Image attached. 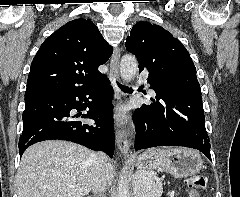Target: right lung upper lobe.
I'll return each instance as SVG.
<instances>
[{
    "instance_id": "cb5924a9",
    "label": "right lung upper lobe",
    "mask_w": 240,
    "mask_h": 197,
    "mask_svg": "<svg viewBox=\"0 0 240 197\" xmlns=\"http://www.w3.org/2000/svg\"><path fill=\"white\" fill-rule=\"evenodd\" d=\"M90 19L72 20L49 36L30 68L25 98L58 88H84L106 76L98 71L112 55Z\"/></svg>"
}]
</instances>
